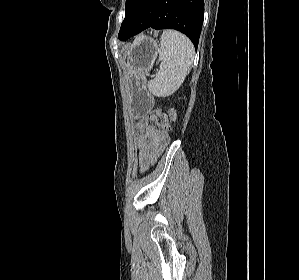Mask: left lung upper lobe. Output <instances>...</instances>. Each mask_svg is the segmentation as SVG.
Here are the masks:
<instances>
[{
  "mask_svg": "<svg viewBox=\"0 0 299 280\" xmlns=\"http://www.w3.org/2000/svg\"><path fill=\"white\" fill-rule=\"evenodd\" d=\"M133 0H126V5H125V19L124 21L122 22V25H121V28H120V31H119V35H118V38L124 28V25L126 24V21L128 19V16L130 14V11H131V4H132Z\"/></svg>",
  "mask_w": 299,
  "mask_h": 280,
  "instance_id": "5c2ea615",
  "label": "left lung upper lobe"
}]
</instances>
